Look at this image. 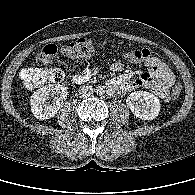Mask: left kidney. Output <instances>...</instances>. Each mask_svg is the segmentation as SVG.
<instances>
[{
  "label": "left kidney",
  "instance_id": "5707ae66",
  "mask_svg": "<svg viewBox=\"0 0 195 195\" xmlns=\"http://www.w3.org/2000/svg\"><path fill=\"white\" fill-rule=\"evenodd\" d=\"M126 103L133 114L142 120H153L160 112L159 99L147 91L131 93Z\"/></svg>",
  "mask_w": 195,
  "mask_h": 195
}]
</instances>
